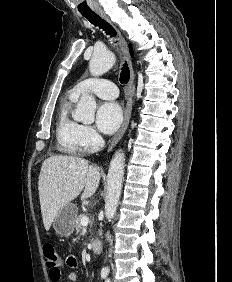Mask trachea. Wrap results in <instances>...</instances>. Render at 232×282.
Here are the masks:
<instances>
[{
  "label": "trachea",
  "mask_w": 232,
  "mask_h": 282,
  "mask_svg": "<svg viewBox=\"0 0 232 282\" xmlns=\"http://www.w3.org/2000/svg\"><path fill=\"white\" fill-rule=\"evenodd\" d=\"M82 15L88 19V21L93 24L94 26H98L99 28L103 29L107 35L110 37H116V31L115 29L104 19H102L99 15H97L94 12L89 13H82ZM130 78V71L127 65V62H125L121 68L120 73V82L122 84H126L129 81Z\"/></svg>",
  "instance_id": "trachea-1"
}]
</instances>
